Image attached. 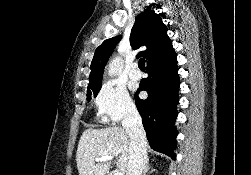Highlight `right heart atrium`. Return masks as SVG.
I'll return each instance as SVG.
<instances>
[{
    "mask_svg": "<svg viewBox=\"0 0 251 175\" xmlns=\"http://www.w3.org/2000/svg\"><path fill=\"white\" fill-rule=\"evenodd\" d=\"M93 104L96 117L102 123H117L135 111L127 90L112 80L102 82L93 98Z\"/></svg>",
    "mask_w": 251,
    "mask_h": 175,
    "instance_id": "d8ad5b80",
    "label": "right heart atrium"
}]
</instances>
